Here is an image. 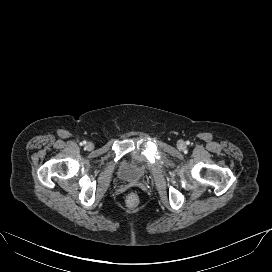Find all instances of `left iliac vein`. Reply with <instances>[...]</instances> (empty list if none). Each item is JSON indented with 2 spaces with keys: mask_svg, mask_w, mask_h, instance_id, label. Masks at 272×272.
<instances>
[{
  "mask_svg": "<svg viewBox=\"0 0 272 272\" xmlns=\"http://www.w3.org/2000/svg\"><path fill=\"white\" fill-rule=\"evenodd\" d=\"M183 145H184V143H183V142H181V141L178 143V146H179L180 148H182V147H183Z\"/></svg>",
  "mask_w": 272,
  "mask_h": 272,
  "instance_id": "left-iliac-vein-1",
  "label": "left iliac vein"
}]
</instances>
